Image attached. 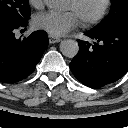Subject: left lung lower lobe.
I'll use <instances>...</instances> for the list:
<instances>
[{
  "instance_id": "0a47b994",
  "label": "left lung lower lobe",
  "mask_w": 128,
  "mask_h": 128,
  "mask_svg": "<svg viewBox=\"0 0 128 128\" xmlns=\"http://www.w3.org/2000/svg\"><path fill=\"white\" fill-rule=\"evenodd\" d=\"M95 42L79 41V53L70 63L73 75L84 85L100 88L116 82L128 71V25L105 32H86Z\"/></svg>"
}]
</instances>
